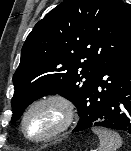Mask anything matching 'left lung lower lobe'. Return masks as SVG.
I'll list each match as a JSON object with an SVG mask.
<instances>
[{"label": "left lung lower lobe", "instance_id": "obj_1", "mask_svg": "<svg viewBox=\"0 0 131 151\" xmlns=\"http://www.w3.org/2000/svg\"><path fill=\"white\" fill-rule=\"evenodd\" d=\"M83 107L73 132L102 126L131 134V45L104 63Z\"/></svg>", "mask_w": 131, "mask_h": 151}]
</instances>
